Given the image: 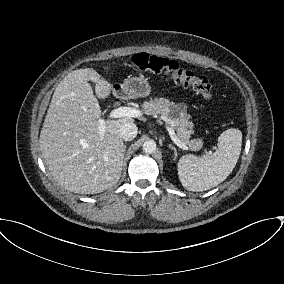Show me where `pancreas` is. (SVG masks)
Wrapping results in <instances>:
<instances>
[{"label":"pancreas","mask_w":284,"mask_h":284,"mask_svg":"<svg viewBox=\"0 0 284 284\" xmlns=\"http://www.w3.org/2000/svg\"><path fill=\"white\" fill-rule=\"evenodd\" d=\"M147 115H160L163 119L173 122V127L177 131V137L193 151L200 150L203 146L201 139L190 140L193 133L192 122L186 112L185 105H176L165 98H154L145 101L142 105Z\"/></svg>","instance_id":"obj_1"}]
</instances>
